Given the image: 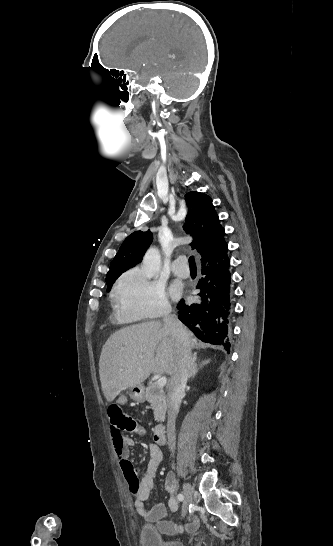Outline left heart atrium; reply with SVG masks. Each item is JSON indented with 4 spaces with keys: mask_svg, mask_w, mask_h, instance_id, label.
<instances>
[{
    "mask_svg": "<svg viewBox=\"0 0 333 546\" xmlns=\"http://www.w3.org/2000/svg\"><path fill=\"white\" fill-rule=\"evenodd\" d=\"M172 295L175 296V297H177L179 295V288L178 287L174 286L172 288Z\"/></svg>",
    "mask_w": 333,
    "mask_h": 546,
    "instance_id": "1",
    "label": "left heart atrium"
}]
</instances>
